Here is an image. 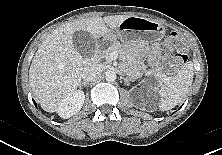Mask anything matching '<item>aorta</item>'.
<instances>
[{
	"label": "aorta",
	"mask_w": 222,
	"mask_h": 155,
	"mask_svg": "<svg viewBox=\"0 0 222 155\" xmlns=\"http://www.w3.org/2000/svg\"><path fill=\"white\" fill-rule=\"evenodd\" d=\"M116 77H117V75H116V73L114 71L108 70L106 72V75H105L106 81L113 82V81L116 80Z\"/></svg>",
	"instance_id": "762f6f07"
}]
</instances>
